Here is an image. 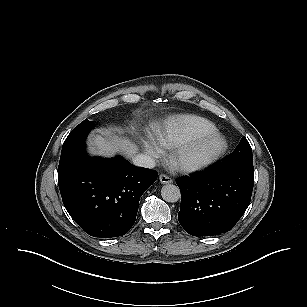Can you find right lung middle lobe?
Returning a JSON list of instances; mask_svg holds the SVG:
<instances>
[{"label":"right lung middle lobe","instance_id":"right-lung-middle-lobe-1","mask_svg":"<svg viewBox=\"0 0 307 307\" xmlns=\"http://www.w3.org/2000/svg\"><path fill=\"white\" fill-rule=\"evenodd\" d=\"M91 129H93V122L88 121V119H85L70 132L63 144V148L77 141L84 140Z\"/></svg>","mask_w":307,"mask_h":307}]
</instances>
